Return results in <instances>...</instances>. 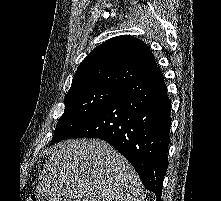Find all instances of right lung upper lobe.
Wrapping results in <instances>:
<instances>
[{"mask_svg":"<svg viewBox=\"0 0 221 201\" xmlns=\"http://www.w3.org/2000/svg\"><path fill=\"white\" fill-rule=\"evenodd\" d=\"M157 68L147 45L130 35L111 38L79 65L69 91L102 86L120 90Z\"/></svg>","mask_w":221,"mask_h":201,"instance_id":"1","label":"right lung upper lobe"}]
</instances>
